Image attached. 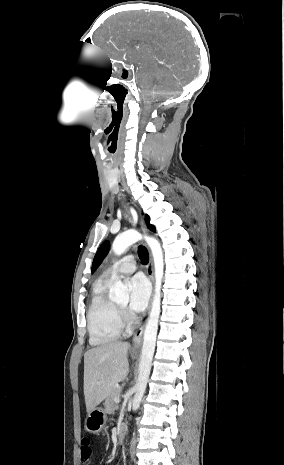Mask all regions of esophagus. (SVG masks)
Listing matches in <instances>:
<instances>
[{"instance_id":"1","label":"esophagus","mask_w":284,"mask_h":465,"mask_svg":"<svg viewBox=\"0 0 284 465\" xmlns=\"http://www.w3.org/2000/svg\"><path fill=\"white\" fill-rule=\"evenodd\" d=\"M140 227H141V231L144 234H146L147 229H146V226H145L143 220H141V222H140ZM148 251H149V248H148ZM147 275H148V277L150 278V280L152 282V286H154L153 260H152V256H151L150 251H149V263L147 265ZM149 310H150V306H149ZM143 332H144V325H142L140 328H138V330H136V332L134 333L133 339H132L134 349H138L139 347H141Z\"/></svg>"}]
</instances>
